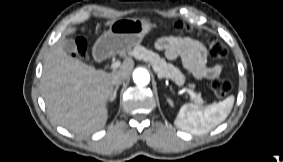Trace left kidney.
Listing matches in <instances>:
<instances>
[{
  "instance_id": "1",
  "label": "left kidney",
  "mask_w": 283,
  "mask_h": 162,
  "mask_svg": "<svg viewBox=\"0 0 283 162\" xmlns=\"http://www.w3.org/2000/svg\"><path fill=\"white\" fill-rule=\"evenodd\" d=\"M168 102L171 106H173V102L170 99H168Z\"/></svg>"
}]
</instances>
